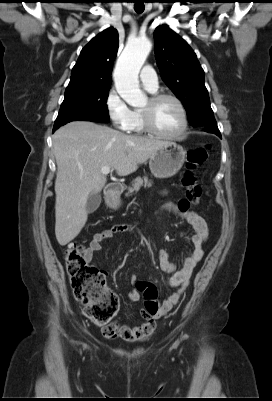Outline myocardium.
I'll use <instances>...</instances> for the list:
<instances>
[{"label":"myocardium","mask_w":272,"mask_h":401,"mask_svg":"<svg viewBox=\"0 0 272 401\" xmlns=\"http://www.w3.org/2000/svg\"><path fill=\"white\" fill-rule=\"evenodd\" d=\"M164 99L173 100L178 105L181 115H182V128L180 129V131H178L175 134H166V133L161 132L160 130L157 129V127L155 126V124L153 122V117H152L153 106L156 103H158L159 101L164 100ZM148 100H149V106L146 108L140 109L144 129L148 133H150L156 137L163 138V139H169V140L178 139L186 133V131L188 129V115H187L186 108L180 98H178L176 95L171 94V93H155V94H152Z\"/></svg>","instance_id":"1"}]
</instances>
